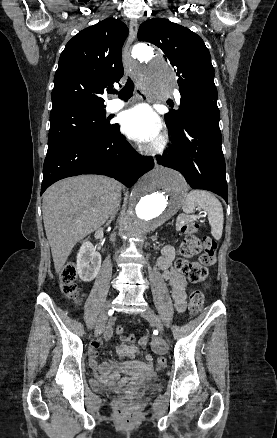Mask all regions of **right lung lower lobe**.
<instances>
[{
	"label": "right lung lower lobe",
	"instance_id": "right-lung-lower-lobe-1",
	"mask_svg": "<svg viewBox=\"0 0 277 438\" xmlns=\"http://www.w3.org/2000/svg\"><path fill=\"white\" fill-rule=\"evenodd\" d=\"M99 135L69 140L47 151L43 166L41 194L54 182L81 174L113 177L131 187L153 167L120 134L119 125Z\"/></svg>",
	"mask_w": 277,
	"mask_h": 438
}]
</instances>
